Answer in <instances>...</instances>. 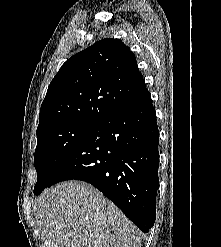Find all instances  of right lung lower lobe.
<instances>
[{"label":"right lung lower lobe","instance_id":"obj_1","mask_svg":"<svg viewBox=\"0 0 221 247\" xmlns=\"http://www.w3.org/2000/svg\"><path fill=\"white\" fill-rule=\"evenodd\" d=\"M158 142L156 112L146 92L100 121L47 187L65 180L88 182L147 233L156 218Z\"/></svg>","mask_w":221,"mask_h":247}]
</instances>
